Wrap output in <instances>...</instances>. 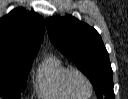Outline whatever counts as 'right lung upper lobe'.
I'll return each mask as SVG.
<instances>
[{"label":"right lung upper lobe","instance_id":"cb5924a9","mask_svg":"<svg viewBox=\"0 0 128 99\" xmlns=\"http://www.w3.org/2000/svg\"><path fill=\"white\" fill-rule=\"evenodd\" d=\"M44 20L17 8L0 19V54L36 55L44 35Z\"/></svg>","mask_w":128,"mask_h":99}]
</instances>
